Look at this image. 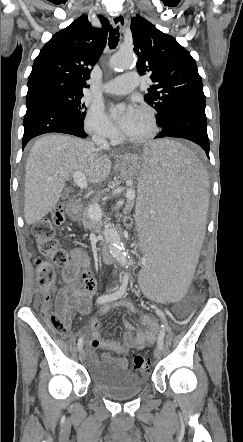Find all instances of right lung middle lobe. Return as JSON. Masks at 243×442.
I'll list each match as a JSON object with an SVG mask.
<instances>
[{"mask_svg": "<svg viewBox=\"0 0 243 442\" xmlns=\"http://www.w3.org/2000/svg\"><path fill=\"white\" fill-rule=\"evenodd\" d=\"M39 96H49L53 97L61 102H63L68 108L71 110L73 115L79 119L81 122H83L85 118V105L81 102V98L83 96V93L81 92H74V91H66V90H59V89H53L49 90Z\"/></svg>", "mask_w": 243, "mask_h": 442, "instance_id": "obj_1", "label": "right lung middle lobe"}]
</instances>
